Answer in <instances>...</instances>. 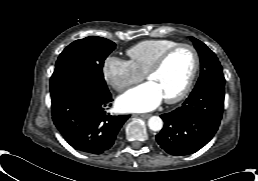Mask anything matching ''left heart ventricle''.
Here are the masks:
<instances>
[{"instance_id": "left-heart-ventricle-1", "label": "left heart ventricle", "mask_w": 258, "mask_h": 181, "mask_svg": "<svg viewBox=\"0 0 258 181\" xmlns=\"http://www.w3.org/2000/svg\"><path fill=\"white\" fill-rule=\"evenodd\" d=\"M193 63L192 52L187 48L179 49L167 59L162 69L148 80L157 86L163 98L174 97L186 85Z\"/></svg>"}]
</instances>
